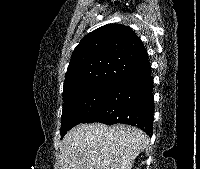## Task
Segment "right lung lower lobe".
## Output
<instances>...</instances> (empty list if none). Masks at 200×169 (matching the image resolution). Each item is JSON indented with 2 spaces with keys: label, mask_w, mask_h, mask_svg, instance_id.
<instances>
[{
  "label": "right lung lower lobe",
  "mask_w": 200,
  "mask_h": 169,
  "mask_svg": "<svg viewBox=\"0 0 200 169\" xmlns=\"http://www.w3.org/2000/svg\"><path fill=\"white\" fill-rule=\"evenodd\" d=\"M153 78L151 68L117 80L106 100L82 123H123L153 132Z\"/></svg>",
  "instance_id": "1"
}]
</instances>
